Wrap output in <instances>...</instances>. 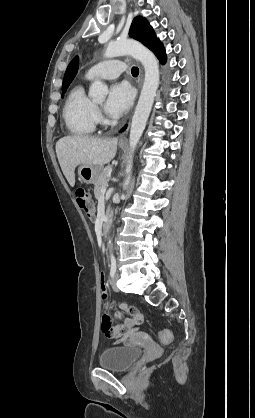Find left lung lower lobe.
I'll use <instances>...</instances> for the list:
<instances>
[{
	"label": "left lung lower lobe",
	"instance_id": "obj_1",
	"mask_svg": "<svg viewBox=\"0 0 255 418\" xmlns=\"http://www.w3.org/2000/svg\"><path fill=\"white\" fill-rule=\"evenodd\" d=\"M153 52L155 53V55L158 57V59L160 60L162 64L166 62V53H165V49L162 43L157 48H155ZM125 128L126 127H124L121 131H124Z\"/></svg>",
	"mask_w": 255,
	"mask_h": 418
}]
</instances>
